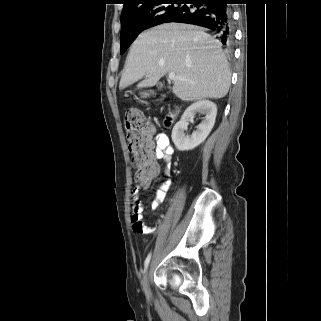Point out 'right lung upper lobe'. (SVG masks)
<instances>
[{"label":"right lung upper lobe","instance_id":"1","mask_svg":"<svg viewBox=\"0 0 321 321\" xmlns=\"http://www.w3.org/2000/svg\"><path fill=\"white\" fill-rule=\"evenodd\" d=\"M124 7L121 13V18L131 15L140 9H142L144 6L151 4L153 1L157 0H124Z\"/></svg>","mask_w":321,"mask_h":321}]
</instances>
